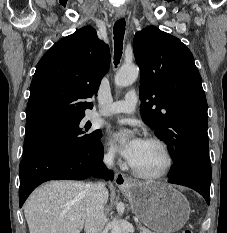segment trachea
I'll return each mask as SVG.
<instances>
[{"label":"trachea","mask_w":227,"mask_h":233,"mask_svg":"<svg viewBox=\"0 0 227 233\" xmlns=\"http://www.w3.org/2000/svg\"><path fill=\"white\" fill-rule=\"evenodd\" d=\"M114 64L118 65L123 49V38L125 34V20L119 19L114 24Z\"/></svg>","instance_id":"1"}]
</instances>
